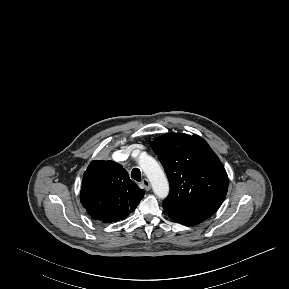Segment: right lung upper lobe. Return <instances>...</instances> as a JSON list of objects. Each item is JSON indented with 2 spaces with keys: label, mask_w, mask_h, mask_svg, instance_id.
<instances>
[{
  "label": "right lung upper lobe",
  "mask_w": 289,
  "mask_h": 289,
  "mask_svg": "<svg viewBox=\"0 0 289 289\" xmlns=\"http://www.w3.org/2000/svg\"><path fill=\"white\" fill-rule=\"evenodd\" d=\"M144 194L122 165L95 160L84 172L80 200L94 220L111 223L133 212Z\"/></svg>",
  "instance_id": "cb5924a9"
}]
</instances>
